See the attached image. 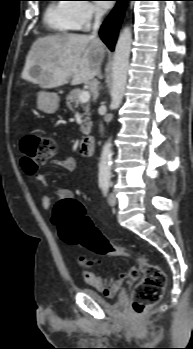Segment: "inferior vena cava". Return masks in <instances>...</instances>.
<instances>
[{"instance_id": "1", "label": "inferior vena cava", "mask_w": 193, "mask_h": 349, "mask_svg": "<svg viewBox=\"0 0 193 349\" xmlns=\"http://www.w3.org/2000/svg\"><path fill=\"white\" fill-rule=\"evenodd\" d=\"M94 14H95V21H94V24H93V31L91 33V38H97V32H98V29L100 27V23H101V17L103 15V11L100 10V9H95L94 10ZM103 130L102 126H101V131Z\"/></svg>"}]
</instances>
